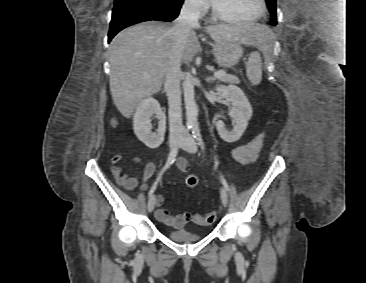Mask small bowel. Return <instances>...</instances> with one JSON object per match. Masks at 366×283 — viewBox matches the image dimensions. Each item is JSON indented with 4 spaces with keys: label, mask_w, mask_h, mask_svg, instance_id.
Returning a JSON list of instances; mask_svg holds the SVG:
<instances>
[{
    "label": "small bowel",
    "mask_w": 366,
    "mask_h": 283,
    "mask_svg": "<svg viewBox=\"0 0 366 283\" xmlns=\"http://www.w3.org/2000/svg\"><path fill=\"white\" fill-rule=\"evenodd\" d=\"M262 145V134L257 135L251 141L246 144L239 145L232 149L231 157L232 159L240 164L247 165L254 162L258 154L260 152ZM122 160V156L115 155L112 157L113 166L111 168V172L116 179L117 183L123 187L127 191L134 190L138 183L139 178L137 175H131L128 173H123L122 168L119 166V163ZM133 162L136 164L141 163V159L139 157H134ZM176 165L178 169L182 172L188 170L189 163L185 158H178L176 161ZM155 164L153 162H148L144 168L141 170L143 176V184L142 188L146 189V181L150 179L155 173ZM164 198L162 196H158L156 200L157 210L155 212L156 218L164 223L165 225L172 228H181L188 220L187 213L171 215L167 209L163 208Z\"/></svg>",
    "instance_id": "obj_1"
}]
</instances>
